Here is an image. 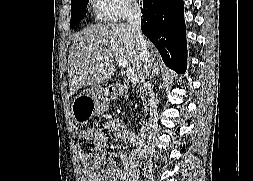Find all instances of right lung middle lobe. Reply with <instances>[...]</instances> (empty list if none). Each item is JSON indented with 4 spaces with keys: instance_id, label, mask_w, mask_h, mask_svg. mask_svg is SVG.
I'll use <instances>...</instances> for the list:
<instances>
[{
    "instance_id": "right-lung-middle-lobe-1",
    "label": "right lung middle lobe",
    "mask_w": 253,
    "mask_h": 181,
    "mask_svg": "<svg viewBox=\"0 0 253 181\" xmlns=\"http://www.w3.org/2000/svg\"><path fill=\"white\" fill-rule=\"evenodd\" d=\"M88 0H71L70 27L77 25L86 16Z\"/></svg>"
}]
</instances>
